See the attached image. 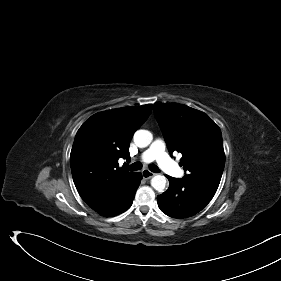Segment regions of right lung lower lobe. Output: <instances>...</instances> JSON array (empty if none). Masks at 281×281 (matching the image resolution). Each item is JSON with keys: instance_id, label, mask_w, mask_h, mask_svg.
Returning a JSON list of instances; mask_svg holds the SVG:
<instances>
[{"instance_id": "right-lung-lower-lobe-1", "label": "right lung lower lobe", "mask_w": 281, "mask_h": 281, "mask_svg": "<svg viewBox=\"0 0 281 281\" xmlns=\"http://www.w3.org/2000/svg\"><path fill=\"white\" fill-rule=\"evenodd\" d=\"M141 179H142V174L136 173L133 185L131 186L130 191L128 192V194L126 195L124 200L122 201L121 205L116 210L109 212V213L102 214V215L112 217V216H116V215L126 211L132 205V201L134 199L135 192H136L137 188L139 187Z\"/></svg>"}]
</instances>
